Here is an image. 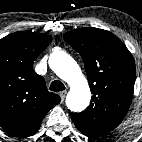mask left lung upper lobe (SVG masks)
Returning <instances> with one entry per match:
<instances>
[{"label":"left lung upper lobe","mask_w":142,"mask_h":142,"mask_svg":"<svg viewBox=\"0 0 142 142\" xmlns=\"http://www.w3.org/2000/svg\"><path fill=\"white\" fill-rule=\"evenodd\" d=\"M83 58L93 94L89 107L70 113L77 129L97 137L116 128L125 117L133 96L136 68L127 47L111 32L85 27L64 34Z\"/></svg>","instance_id":"obj_1"}]
</instances>
